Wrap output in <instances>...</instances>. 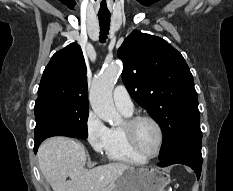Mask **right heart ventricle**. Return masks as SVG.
<instances>
[{"mask_svg": "<svg viewBox=\"0 0 233 191\" xmlns=\"http://www.w3.org/2000/svg\"><path fill=\"white\" fill-rule=\"evenodd\" d=\"M122 114L129 118L131 113ZM109 144L106 149V156L110 161L123 162L129 164H141L146 160L137 155L130 147L123 131V126L109 129Z\"/></svg>", "mask_w": 233, "mask_h": 191, "instance_id": "e07e8e85", "label": "right heart ventricle"}]
</instances>
